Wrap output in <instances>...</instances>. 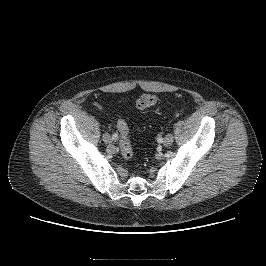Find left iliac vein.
<instances>
[{
    "label": "left iliac vein",
    "instance_id": "1",
    "mask_svg": "<svg viewBox=\"0 0 266 266\" xmlns=\"http://www.w3.org/2000/svg\"><path fill=\"white\" fill-rule=\"evenodd\" d=\"M174 137L172 134H167L165 138L163 139V144L165 146H169L173 143Z\"/></svg>",
    "mask_w": 266,
    "mask_h": 266
}]
</instances>
